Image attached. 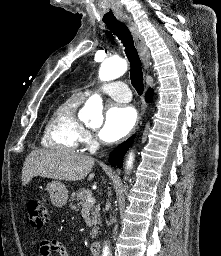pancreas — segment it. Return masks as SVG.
<instances>
[{
  "instance_id": "obj_1",
  "label": "pancreas",
  "mask_w": 221,
  "mask_h": 256,
  "mask_svg": "<svg viewBox=\"0 0 221 256\" xmlns=\"http://www.w3.org/2000/svg\"><path fill=\"white\" fill-rule=\"evenodd\" d=\"M91 197V191L90 190H86V189H81L76 193L72 194V201L78 202L77 204H71L72 209L75 210H79L81 208V206L84 205L85 201L87 198ZM92 207V230H91V237L95 238L97 231H98V227L96 226V224L100 221V213H99V206H94V204L90 205Z\"/></svg>"
}]
</instances>
